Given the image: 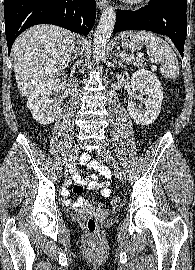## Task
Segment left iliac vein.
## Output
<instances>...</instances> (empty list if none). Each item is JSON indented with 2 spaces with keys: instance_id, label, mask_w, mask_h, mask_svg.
I'll return each mask as SVG.
<instances>
[{
  "instance_id": "left-iliac-vein-1",
  "label": "left iliac vein",
  "mask_w": 195,
  "mask_h": 270,
  "mask_svg": "<svg viewBox=\"0 0 195 270\" xmlns=\"http://www.w3.org/2000/svg\"><path fill=\"white\" fill-rule=\"evenodd\" d=\"M97 153L113 167L115 176L119 181L123 182L125 180V173L111 152L107 148L101 147L97 149Z\"/></svg>"
}]
</instances>
